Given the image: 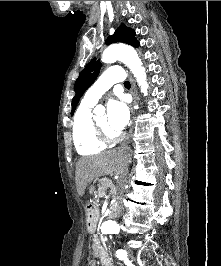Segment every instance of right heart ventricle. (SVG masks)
Returning <instances> with one entry per match:
<instances>
[{"instance_id":"1","label":"right heart ventricle","mask_w":221,"mask_h":266,"mask_svg":"<svg viewBox=\"0 0 221 266\" xmlns=\"http://www.w3.org/2000/svg\"><path fill=\"white\" fill-rule=\"evenodd\" d=\"M72 137L77 152L83 156L99 154L106 148L97 135L90 106L81 104L78 107L73 120Z\"/></svg>"}]
</instances>
